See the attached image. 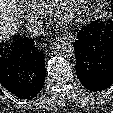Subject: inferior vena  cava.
I'll return each mask as SVG.
<instances>
[{"instance_id":"602c4592","label":"inferior vena cava","mask_w":113,"mask_h":113,"mask_svg":"<svg viewBox=\"0 0 113 113\" xmlns=\"http://www.w3.org/2000/svg\"><path fill=\"white\" fill-rule=\"evenodd\" d=\"M28 32L31 36H37L43 33L44 27L41 20H35L27 25Z\"/></svg>"}]
</instances>
